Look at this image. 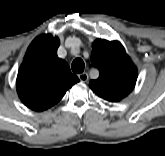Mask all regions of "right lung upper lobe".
<instances>
[{
	"label": "right lung upper lobe",
	"mask_w": 165,
	"mask_h": 156,
	"mask_svg": "<svg viewBox=\"0 0 165 156\" xmlns=\"http://www.w3.org/2000/svg\"><path fill=\"white\" fill-rule=\"evenodd\" d=\"M60 41L44 34L30 44L20 66L16 89L21 101L34 111H44L61 100L79 81L68 64L58 58Z\"/></svg>",
	"instance_id": "right-lung-upper-lobe-1"
}]
</instances>
